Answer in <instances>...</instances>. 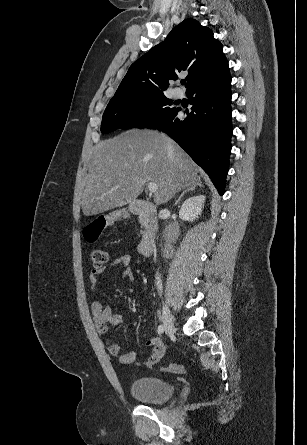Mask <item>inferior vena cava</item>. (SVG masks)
I'll return each instance as SVG.
<instances>
[{"mask_svg":"<svg viewBox=\"0 0 307 445\" xmlns=\"http://www.w3.org/2000/svg\"><path fill=\"white\" fill-rule=\"evenodd\" d=\"M167 146H168L169 150H174V146H173V144H171V142H168ZM161 212H164V210H161ZM155 279H156V287H157L159 293H162V281L160 279L159 273H156Z\"/></svg>","mask_w":307,"mask_h":445,"instance_id":"obj_1","label":"inferior vena cava"}]
</instances>
